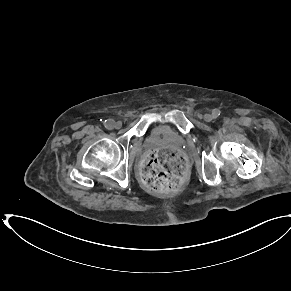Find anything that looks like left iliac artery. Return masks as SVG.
Segmentation results:
<instances>
[{
    "label": "left iliac artery",
    "instance_id": "left-iliac-artery-1",
    "mask_svg": "<svg viewBox=\"0 0 291 291\" xmlns=\"http://www.w3.org/2000/svg\"><path fill=\"white\" fill-rule=\"evenodd\" d=\"M219 115H220V110H218V109H214V110L212 111V116H213V118H217Z\"/></svg>",
    "mask_w": 291,
    "mask_h": 291
}]
</instances>
